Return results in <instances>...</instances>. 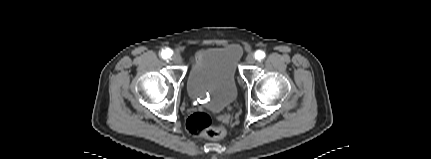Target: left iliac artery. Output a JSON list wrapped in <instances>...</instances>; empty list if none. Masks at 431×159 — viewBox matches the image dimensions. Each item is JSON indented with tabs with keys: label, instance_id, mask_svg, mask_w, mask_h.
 Returning <instances> with one entry per match:
<instances>
[{
	"label": "left iliac artery",
	"instance_id": "obj_1",
	"mask_svg": "<svg viewBox=\"0 0 431 159\" xmlns=\"http://www.w3.org/2000/svg\"><path fill=\"white\" fill-rule=\"evenodd\" d=\"M265 57V53L261 50L255 52V58L258 60H262Z\"/></svg>",
	"mask_w": 431,
	"mask_h": 159
}]
</instances>
